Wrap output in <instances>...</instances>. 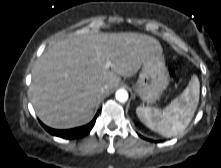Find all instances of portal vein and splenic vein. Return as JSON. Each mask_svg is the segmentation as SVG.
Masks as SVG:
<instances>
[{
    "label": "portal vein and splenic vein",
    "instance_id": "obj_1",
    "mask_svg": "<svg viewBox=\"0 0 221 168\" xmlns=\"http://www.w3.org/2000/svg\"><path fill=\"white\" fill-rule=\"evenodd\" d=\"M112 65L111 61L109 59L106 60V63H105V68H110Z\"/></svg>",
    "mask_w": 221,
    "mask_h": 168
}]
</instances>
